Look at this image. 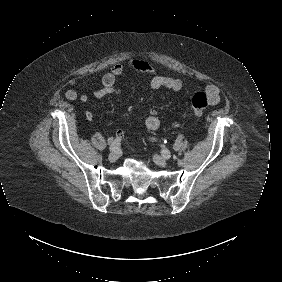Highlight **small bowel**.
I'll return each mask as SVG.
<instances>
[{
	"instance_id": "small-bowel-1",
	"label": "small bowel",
	"mask_w": 282,
	"mask_h": 282,
	"mask_svg": "<svg viewBox=\"0 0 282 282\" xmlns=\"http://www.w3.org/2000/svg\"><path fill=\"white\" fill-rule=\"evenodd\" d=\"M127 65L137 71L144 72L147 74L152 75V79L150 82V87L153 90L159 89V88H168L174 91H180L183 89L184 85L182 81L179 79H175L169 76H165L162 74L157 73V70L154 66H152L149 62L133 58L128 60ZM124 66L121 63H116L111 70L103 77L102 84L100 87L96 88L93 91V95L96 98H102L109 94H120V88L118 85V78L123 73ZM69 85L75 84V79H71L68 82ZM205 92L209 98V104L210 105H216L220 101V90L215 85H208L205 88ZM66 99L70 101H74L78 98V93L75 89L69 88L65 92ZM82 102H87L88 97L86 95L81 96ZM94 114L92 111L86 112V119L91 122L93 121ZM145 125L150 130H156L160 126V120L159 118L154 114H150L145 119ZM115 136L118 139H122L124 137V132L122 129H118L115 132Z\"/></svg>"
}]
</instances>
